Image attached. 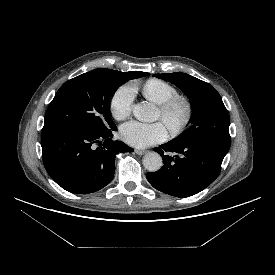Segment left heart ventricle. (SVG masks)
<instances>
[{
	"mask_svg": "<svg viewBox=\"0 0 275 275\" xmlns=\"http://www.w3.org/2000/svg\"><path fill=\"white\" fill-rule=\"evenodd\" d=\"M184 109L182 106L176 107L171 113L167 116H163L160 111H158V119H160L165 126L169 129L178 125L184 117Z\"/></svg>",
	"mask_w": 275,
	"mask_h": 275,
	"instance_id": "b2bd125f",
	"label": "left heart ventricle"
}]
</instances>
